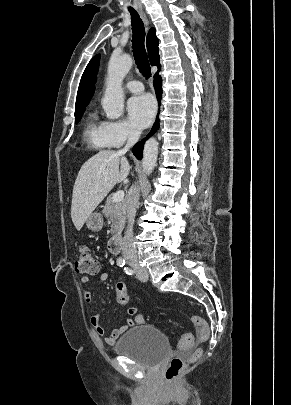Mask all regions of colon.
Returning <instances> with one entry per match:
<instances>
[{"mask_svg":"<svg viewBox=\"0 0 291 405\" xmlns=\"http://www.w3.org/2000/svg\"><path fill=\"white\" fill-rule=\"evenodd\" d=\"M75 269L79 273L94 275L99 271V263L93 255L92 250L88 246H80L77 252L75 261ZM116 300L120 304H126L129 301V293L126 285L122 282L116 284ZM192 321L197 328L199 341L206 342L210 337V328L207 322L200 316H193ZM193 344V336L185 334L182 336L179 347L181 349H188ZM202 355V349L195 350L187 359L181 357H174L165 372V377L168 382L175 381L182 373L188 363L194 362Z\"/></svg>","mask_w":291,"mask_h":405,"instance_id":"colon-1","label":"colon"}]
</instances>
